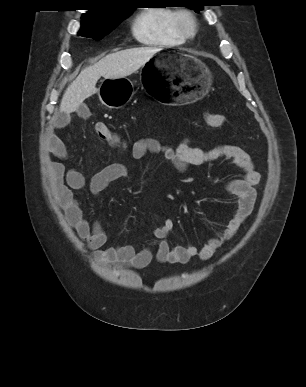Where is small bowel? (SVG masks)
<instances>
[{
	"mask_svg": "<svg viewBox=\"0 0 306 387\" xmlns=\"http://www.w3.org/2000/svg\"><path fill=\"white\" fill-rule=\"evenodd\" d=\"M71 114L57 116L50 125L47 134L48 152L56 158H66L68 150L64 141L55 133L56 130L67 127ZM161 154L179 172H186L191 166H200L226 158L232 160L244 171L243 176L225 183V190L236 198L231 211V217L222 230L217 231L202 247L193 244H176L172 246L169 235L173 228V220L166 219L157 225L152 232L153 241L150 246L137 248L134 245H116L103 249L107 235L100 222L90 224L75 198V192L86 186L84 176L77 170L66 169L55 160L49 163V175L55 197L62 208L68 222L78 236L86 242L94 257L109 266H129L142 269L155 258L161 263L185 264L190 259L198 257L202 260L211 258L251 214L256 201L255 186L260 180L249 154L241 147L221 144L208 149L191 145L188 139H183L177 146L164 145L154 138H141L132 145L131 156L136 160L148 155ZM128 167L122 163H111L95 173L88 184L92 195H98L108 185L128 176Z\"/></svg>",
	"mask_w": 306,
	"mask_h": 387,
	"instance_id": "obj_1",
	"label": "small bowel"
}]
</instances>
